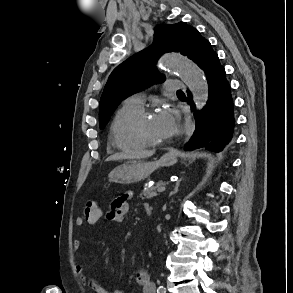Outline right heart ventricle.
I'll list each match as a JSON object with an SVG mask.
<instances>
[{"instance_id":"right-heart-ventricle-1","label":"right heart ventricle","mask_w":293,"mask_h":293,"mask_svg":"<svg viewBox=\"0 0 293 293\" xmlns=\"http://www.w3.org/2000/svg\"><path fill=\"white\" fill-rule=\"evenodd\" d=\"M142 110L124 103L116 112L110 127V142L113 147L128 153L139 152L147 147L135 132V121Z\"/></svg>"}]
</instances>
